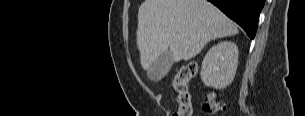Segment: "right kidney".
I'll return each mask as SVG.
<instances>
[{"instance_id":"obj_1","label":"right kidney","mask_w":305,"mask_h":116,"mask_svg":"<svg viewBox=\"0 0 305 116\" xmlns=\"http://www.w3.org/2000/svg\"><path fill=\"white\" fill-rule=\"evenodd\" d=\"M238 65V47L231 41H222L205 55L201 67V80L208 86L223 89L235 77Z\"/></svg>"}]
</instances>
